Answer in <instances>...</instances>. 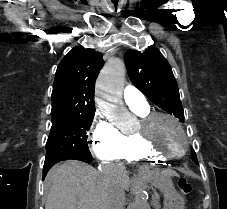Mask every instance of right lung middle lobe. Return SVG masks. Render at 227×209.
<instances>
[{"instance_id":"obj_1","label":"right lung middle lobe","mask_w":227,"mask_h":209,"mask_svg":"<svg viewBox=\"0 0 227 209\" xmlns=\"http://www.w3.org/2000/svg\"><path fill=\"white\" fill-rule=\"evenodd\" d=\"M81 100H64L61 108L51 112L52 127L46 143V157L43 171L46 173L52 161L66 157H92L86 132L92 124L95 111H75L73 106H81Z\"/></svg>"}]
</instances>
